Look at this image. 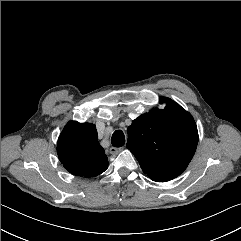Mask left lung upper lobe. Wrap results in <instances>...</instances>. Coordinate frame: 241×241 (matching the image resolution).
<instances>
[{"label": "left lung upper lobe", "mask_w": 241, "mask_h": 241, "mask_svg": "<svg viewBox=\"0 0 241 241\" xmlns=\"http://www.w3.org/2000/svg\"><path fill=\"white\" fill-rule=\"evenodd\" d=\"M164 109H152L128 127L127 148L143 172L156 182H166L187 168L197 148L198 131L190 113L170 98Z\"/></svg>", "instance_id": "obj_1"}]
</instances>
